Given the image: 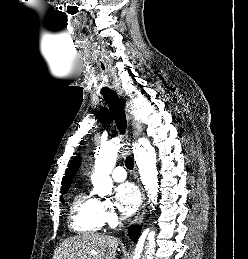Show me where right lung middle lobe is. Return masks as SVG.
I'll return each instance as SVG.
<instances>
[{
    "instance_id": "obj_1",
    "label": "right lung middle lobe",
    "mask_w": 248,
    "mask_h": 259,
    "mask_svg": "<svg viewBox=\"0 0 248 259\" xmlns=\"http://www.w3.org/2000/svg\"><path fill=\"white\" fill-rule=\"evenodd\" d=\"M67 191H68V189L67 190H62L61 191V194H66L67 193ZM61 201H62V203L64 202V199L63 198H61Z\"/></svg>"
}]
</instances>
